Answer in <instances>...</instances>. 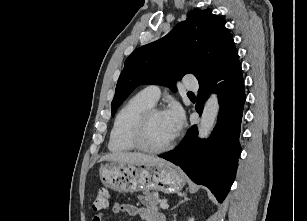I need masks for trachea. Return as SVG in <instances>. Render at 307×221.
<instances>
[{
  "label": "trachea",
  "mask_w": 307,
  "mask_h": 221,
  "mask_svg": "<svg viewBox=\"0 0 307 221\" xmlns=\"http://www.w3.org/2000/svg\"><path fill=\"white\" fill-rule=\"evenodd\" d=\"M188 94H193V92H188Z\"/></svg>",
  "instance_id": "trachea-1"
}]
</instances>
